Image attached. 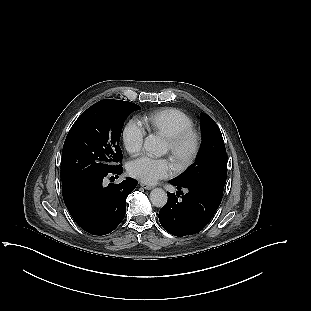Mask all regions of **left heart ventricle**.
<instances>
[{
  "mask_svg": "<svg viewBox=\"0 0 311 311\" xmlns=\"http://www.w3.org/2000/svg\"><path fill=\"white\" fill-rule=\"evenodd\" d=\"M188 147H189V142L186 141L185 143H183V144L181 145V147H180V152H182V153L185 152V151L188 149ZM165 152H166V153L169 152V146H168L167 143L165 144Z\"/></svg>",
  "mask_w": 311,
  "mask_h": 311,
  "instance_id": "obj_1",
  "label": "left heart ventricle"
}]
</instances>
